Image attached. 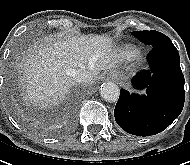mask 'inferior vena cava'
Wrapping results in <instances>:
<instances>
[{"instance_id": "inferior-vena-cava-1", "label": "inferior vena cava", "mask_w": 190, "mask_h": 165, "mask_svg": "<svg viewBox=\"0 0 190 165\" xmlns=\"http://www.w3.org/2000/svg\"><path fill=\"white\" fill-rule=\"evenodd\" d=\"M71 75L79 83H89L92 80V73L86 69L72 70Z\"/></svg>"}]
</instances>
